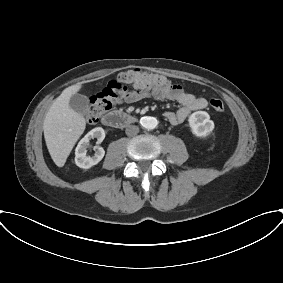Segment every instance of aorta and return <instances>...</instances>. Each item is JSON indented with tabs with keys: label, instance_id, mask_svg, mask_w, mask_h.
<instances>
[{
	"label": "aorta",
	"instance_id": "1",
	"mask_svg": "<svg viewBox=\"0 0 283 283\" xmlns=\"http://www.w3.org/2000/svg\"><path fill=\"white\" fill-rule=\"evenodd\" d=\"M140 123L145 129L151 130L157 126L158 121L155 117L144 116L141 118Z\"/></svg>",
	"mask_w": 283,
	"mask_h": 283
}]
</instances>
